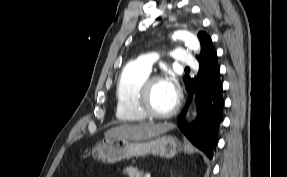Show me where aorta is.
Returning a JSON list of instances; mask_svg holds the SVG:
<instances>
[{"label": "aorta", "instance_id": "762f6f07", "mask_svg": "<svg viewBox=\"0 0 287 177\" xmlns=\"http://www.w3.org/2000/svg\"><path fill=\"white\" fill-rule=\"evenodd\" d=\"M174 38L181 39L184 41L185 45L191 50L198 52L200 50V43L196 36L187 31H176L174 33Z\"/></svg>", "mask_w": 287, "mask_h": 177}]
</instances>
